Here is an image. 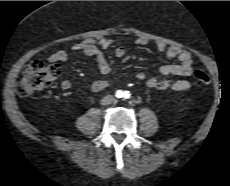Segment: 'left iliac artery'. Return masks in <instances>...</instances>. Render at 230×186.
I'll return each mask as SVG.
<instances>
[{
    "label": "left iliac artery",
    "mask_w": 230,
    "mask_h": 186,
    "mask_svg": "<svg viewBox=\"0 0 230 186\" xmlns=\"http://www.w3.org/2000/svg\"><path fill=\"white\" fill-rule=\"evenodd\" d=\"M124 97L129 98L130 97V92H128V91L124 92Z\"/></svg>",
    "instance_id": "1"
}]
</instances>
